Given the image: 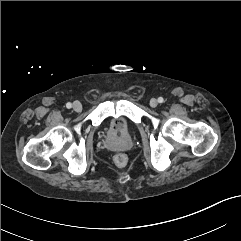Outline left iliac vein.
I'll use <instances>...</instances> for the list:
<instances>
[{"label":"left iliac vein","mask_w":241,"mask_h":241,"mask_svg":"<svg viewBox=\"0 0 241 241\" xmlns=\"http://www.w3.org/2000/svg\"><path fill=\"white\" fill-rule=\"evenodd\" d=\"M157 105H158L157 99L152 98V99L150 100V106L153 107V108H155V107H157Z\"/></svg>","instance_id":"4c4485c4"}]
</instances>
